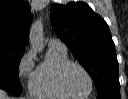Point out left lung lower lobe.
Segmentation results:
<instances>
[{
	"instance_id": "left-lung-lower-lobe-1",
	"label": "left lung lower lobe",
	"mask_w": 128,
	"mask_h": 99,
	"mask_svg": "<svg viewBox=\"0 0 128 99\" xmlns=\"http://www.w3.org/2000/svg\"><path fill=\"white\" fill-rule=\"evenodd\" d=\"M100 99H120V84H112L103 88L97 95Z\"/></svg>"
}]
</instances>
